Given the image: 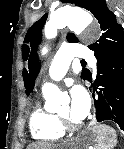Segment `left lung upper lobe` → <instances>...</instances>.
I'll use <instances>...</instances> for the list:
<instances>
[{"mask_svg": "<svg viewBox=\"0 0 124 149\" xmlns=\"http://www.w3.org/2000/svg\"><path fill=\"white\" fill-rule=\"evenodd\" d=\"M65 3H75L76 6L89 10L98 20L101 29V36L97 42L89 45V49L94 51L97 60L116 53L124 48V31L120 24L116 21V16L110 11L104 0H62ZM48 14L38 20L27 32L24 43H29L22 47L23 59L28 60V71L23 70V78L26 93L30 94L34 87L40 65L37 56V46L41 41L42 28L46 22ZM67 41L77 43L78 39L74 34H67ZM81 77L91 80L92 74L89 70L83 69Z\"/></svg>", "mask_w": 124, "mask_h": 149, "instance_id": "1", "label": "left lung upper lobe"}]
</instances>
